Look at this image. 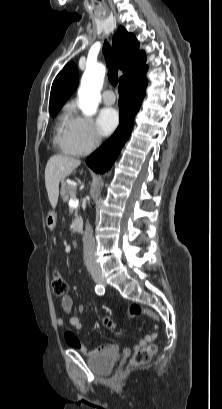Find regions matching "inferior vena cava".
Listing matches in <instances>:
<instances>
[{
    "label": "inferior vena cava",
    "mask_w": 222,
    "mask_h": 409,
    "mask_svg": "<svg viewBox=\"0 0 222 409\" xmlns=\"http://www.w3.org/2000/svg\"><path fill=\"white\" fill-rule=\"evenodd\" d=\"M97 139H100V137H97ZM95 250L96 245L93 237V230L89 222H87L84 236L83 252L85 265L90 272L100 270L99 264L97 263V259L95 256Z\"/></svg>",
    "instance_id": "obj_1"
}]
</instances>
